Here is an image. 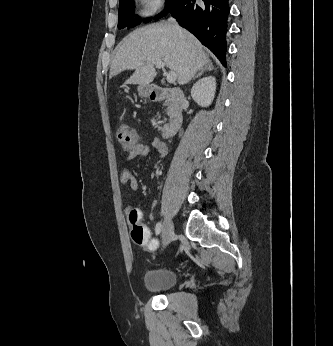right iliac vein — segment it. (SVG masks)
Listing matches in <instances>:
<instances>
[{"label": "right iliac vein", "instance_id": "1", "mask_svg": "<svg viewBox=\"0 0 333 346\" xmlns=\"http://www.w3.org/2000/svg\"><path fill=\"white\" fill-rule=\"evenodd\" d=\"M173 236V223L171 219H166L162 231V248H165L171 241Z\"/></svg>", "mask_w": 333, "mask_h": 346}]
</instances>
